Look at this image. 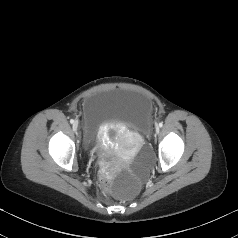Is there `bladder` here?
Returning a JSON list of instances; mask_svg holds the SVG:
<instances>
[{"instance_id":"31cf9c89","label":"bladder","mask_w":238,"mask_h":238,"mask_svg":"<svg viewBox=\"0 0 238 238\" xmlns=\"http://www.w3.org/2000/svg\"><path fill=\"white\" fill-rule=\"evenodd\" d=\"M152 102L145 95L124 89H110L88 97L83 105V137L87 146L96 143L100 128L123 123L145 135L151 127Z\"/></svg>"}]
</instances>
